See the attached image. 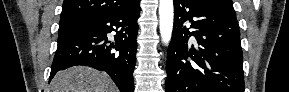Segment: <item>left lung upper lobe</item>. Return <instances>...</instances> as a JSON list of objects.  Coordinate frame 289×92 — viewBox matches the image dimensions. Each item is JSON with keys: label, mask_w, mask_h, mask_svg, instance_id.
Listing matches in <instances>:
<instances>
[{"label": "left lung upper lobe", "mask_w": 289, "mask_h": 92, "mask_svg": "<svg viewBox=\"0 0 289 92\" xmlns=\"http://www.w3.org/2000/svg\"><path fill=\"white\" fill-rule=\"evenodd\" d=\"M209 4L220 8L221 10L236 16L235 10L233 8L232 0H204Z\"/></svg>", "instance_id": "5c2ea615"}]
</instances>
